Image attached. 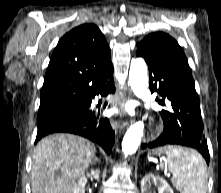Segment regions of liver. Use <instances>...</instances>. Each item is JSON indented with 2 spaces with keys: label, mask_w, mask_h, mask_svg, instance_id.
Instances as JSON below:
<instances>
[{
  "label": "liver",
  "mask_w": 221,
  "mask_h": 193,
  "mask_svg": "<svg viewBox=\"0 0 221 193\" xmlns=\"http://www.w3.org/2000/svg\"><path fill=\"white\" fill-rule=\"evenodd\" d=\"M95 154L94 144L79 136L55 134L42 139L33 153L32 193H73Z\"/></svg>",
  "instance_id": "liver-1"
}]
</instances>
